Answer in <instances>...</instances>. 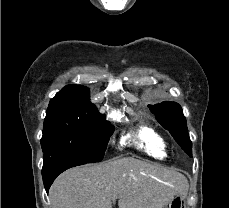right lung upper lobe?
<instances>
[{"mask_svg":"<svg viewBox=\"0 0 229 208\" xmlns=\"http://www.w3.org/2000/svg\"><path fill=\"white\" fill-rule=\"evenodd\" d=\"M49 107L69 108L87 116L105 120V116L100 114L95 105L90 102L89 89L81 85L65 86L51 99Z\"/></svg>","mask_w":229,"mask_h":208,"instance_id":"obj_1","label":"right lung upper lobe"}]
</instances>
